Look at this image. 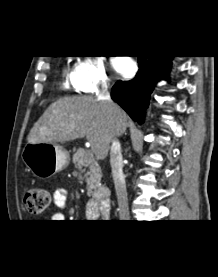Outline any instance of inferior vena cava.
Returning <instances> with one entry per match:
<instances>
[{"instance_id":"inferior-vena-cava-1","label":"inferior vena cava","mask_w":218,"mask_h":277,"mask_svg":"<svg viewBox=\"0 0 218 277\" xmlns=\"http://www.w3.org/2000/svg\"><path fill=\"white\" fill-rule=\"evenodd\" d=\"M97 99L107 103L114 113L118 111V106L111 100L108 84L106 82L102 83ZM110 164L118 200L119 218L121 220H127L129 219L128 198L123 174L121 145L117 140H113L111 145Z\"/></svg>"}]
</instances>
